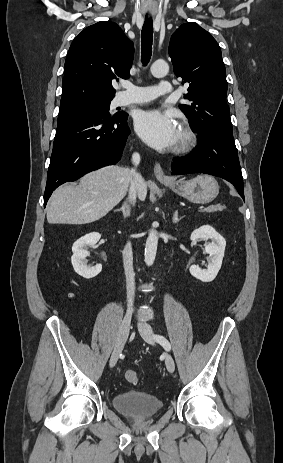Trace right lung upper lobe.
<instances>
[{
  "label": "right lung upper lobe",
  "instance_id": "cb5924a9",
  "mask_svg": "<svg viewBox=\"0 0 283 463\" xmlns=\"http://www.w3.org/2000/svg\"><path fill=\"white\" fill-rule=\"evenodd\" d=\"M133 42L114 22L84 29L72 42L65 61L60 109L94 99H112L116 76L129 78Z\"/></svg>",
  "mask_w": 283,
  "mask_h": 463
}]
</instances>
